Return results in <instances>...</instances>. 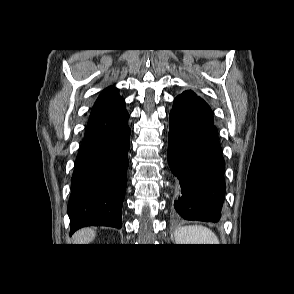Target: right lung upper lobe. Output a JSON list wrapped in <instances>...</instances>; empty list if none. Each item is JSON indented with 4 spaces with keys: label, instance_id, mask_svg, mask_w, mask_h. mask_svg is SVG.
<instances>
[{
    "label": "right lung upper lobe",
    "instance_id": "right-lung-upper-lobe-1",
    "mask_svg": "<svg viewBox=\"0 0 294 294\" xmlns=\"http://www.w3.org/2000/svg\"><path fill=\"white\" fill-rule=\"evenodd\" d=\"M122 98L118 95V90L115 87H108L103 91V93L98 97L94 106L110 104L121 100Z\"/></svg>",
    "mask_w": 294,
    "mask_h": 294
}]
</instances>
